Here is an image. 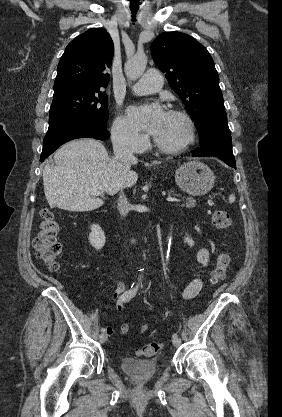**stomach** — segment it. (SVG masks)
I'll list each match as a JSON object with an SVG mask.
<instances>
[{
	"instance_id": "1",
	"label": "stomach",
	"mask_w": 282,
	"mask_h": 417,
	"mask_svg": "<svg viewBox=\"0 0 282 417\" xmlns=\"http://www.w3.org/2000/svg\"><path fill=\"white\" fill-rule=\"evenodd\" d=\"M175 180L178 186L188 194L201 196L213 188L215 176L204 162L189 160L175 170Z\"/></svg>"
}]
</instances>
